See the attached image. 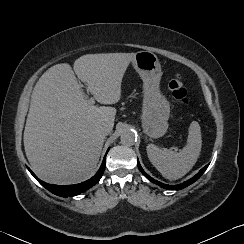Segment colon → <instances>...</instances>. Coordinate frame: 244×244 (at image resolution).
<instances>
[{
  "instance_id": "obj_1",
  "label": "colon",
  "mask_w": 244,
  "mask_h": 244,
  "mask_svg": "<svg viewBox=\"0 0 244 244\" xmlns=\"http://www.w3.org/2000/svg\"><path fill=\"white\" fill-rule=\"evenodd\" d=\"M169 90L172 97L181 104H188L189 93L181 76H176L169 82Z\"/></svg>"
}]
</instances>
